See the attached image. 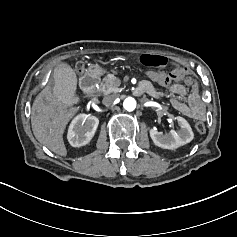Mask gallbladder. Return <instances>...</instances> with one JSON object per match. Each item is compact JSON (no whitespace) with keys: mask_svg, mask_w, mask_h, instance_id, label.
<instances>
[{"mask_svg":"<svg viewBox=\"0 0 237 237\" xmlns=\"http://www.w3.org/2000/svg\"><path fill=\"white\" fill-rule=\"evenodd\" d=\"M55 95L56 98L64 104H72L75 99L76 79L70 65H61L54 70Z\"/></svg>","mask_w":237,"mask_h":237,"instance_id":"1","label":"gallbladder"}]
</instances>
